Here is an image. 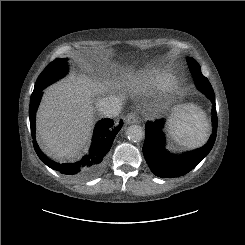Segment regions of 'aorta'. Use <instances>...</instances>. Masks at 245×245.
<instances>
[{"mask_svg": "<svg viewBox=\"0 0 245 245\" xmlns=\"http://www.w3.org/2000/svg\"><path fill=\"white\" fill-rule=\"evenodd\" d=\"M128 139L132 142H140L144 138V130L139 125H131L126 131Z\"/></svg>", "mask_w": 245, "mask_h": 245, "instance_id": "762f6f07", "label": "aorta"}]
</instances>
